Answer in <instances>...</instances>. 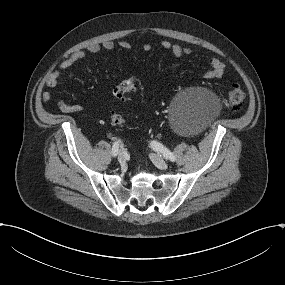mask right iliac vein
I'll return each instance as SVG.
<instances>
[{"label":"right iliac vein","mask_w":285,"mask_h":285,"mask_svg":"<svg viewBox=\"0 0 285 285\" xmlns=\"http://www.w3.org/2000/svg\"><path fill=\"white\" fill-rule=\"evenodd\" d=\"M118 161L120 163H123L125 161V155L123 153H121V152L118 155Z\"/></svg>","instance_id":"obj_1"}]
</instances>
